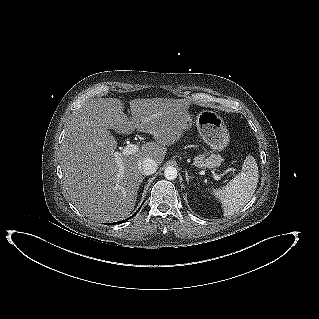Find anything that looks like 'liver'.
Returning <instances> with one entry per match:
<instances>
[{"label":"liver","instance_id":"obj_1","mask_svg":"<svg viewBox=\"0 0 319 319\" xmlns=\"http://www.w3.org/2000/svg\"><path fill=\"white\" fill-rule=\"evenodd\" d=\"M131 121L124 103L117 98L87 101L71 118L60 149L63 183L69 200L97 222H114L134 209L143 181L139 162L151 158L162 164L166 146L177 142L186 130L189 102L183 99L151 98L129 102ZM109 129L131 134L135 129L152 134L135 154L121 156L124 174L118 177L116 139Z\"/></svg>","mask_w":319,"mask_h":319}]
</instances>
